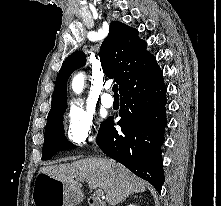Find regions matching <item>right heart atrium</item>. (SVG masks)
I'll use <instances>...</instances> for the list:
<instances>
[{"label": "right heart atrium", "mask_w": 221, "mask_h": 206, "mask_svg": "<svg viewBox=\"0 0 221 206\" xmlns=\"http://www.w3.org/2000/svg\"><path fill=\"white\" fill-rule=\"evenodd\" d=\"M67 137L75 145H83L93 138L95 132L92 111L79 101L69 104L66 111Z\"/></svg>", "instance_id": "right-heart-atrium-1"}]
</instances>
